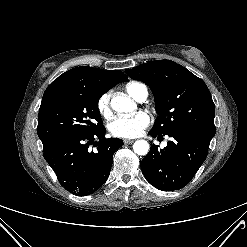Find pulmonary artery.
Listing matches in <instances>:
<instances>
[{
    "label": "pulmonary artery",
    "mask_w": 247,
    "mask_h": 247,
    "mask_svg": "<svg viewBox=\"0 0 247 247\" xmlns=\"http://www.w3.org/2000/svg\"><path fill=\"white\" fill-rule=\"evenodd\" d=\"M147 96H148L147 88H146L145 86H143V87L139 90V92H138V94H137V96H136L135 99H136L137 101H139V102H143V101L146 100Z\"/></svg>",
    "instance_id": "1"
}]
</instances>
